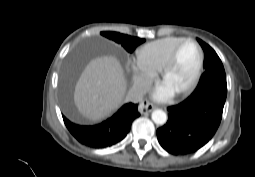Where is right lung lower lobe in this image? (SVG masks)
I'll return each mask as SVG.
<instances>
[{"label":"right lung lower lobe","mask_w":255,"mask_h":177,"mask_svg":"<svg viewBox=\"0 0 255 177\" xmlns=\"http://www.w3.org/2000/svg\"><path fill=\"white\" fill-rule=\"evenodd\" d=\"M140 116L137 104L127 103L111 118L94 126L78 125L63 116L70 133L91 148H106L120 142L130 131L133 120Z\"/></svg>","instance_id":"98d812e1"}]
</instances>
